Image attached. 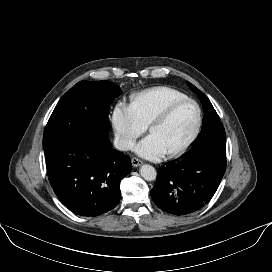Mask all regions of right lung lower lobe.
Returning a JSON list of instances; mask_svg holds the SVG:
<instances>
[{
	"label": "right lung lower lobe",
	"instance_id": "1",
	"mask_svg": "<svg viewBox=\"0 0 272 272\" xmlns=\"http://www.w3.org/2000/svg\"><path fill=\"white\" fill-rule=\"evenodd\" d=\"M50 184L59 200L81 216H98L120 201V180L131 172L130 157L108 138L79 132L44 149Z\"/></svg>",
	"mask_w": 272,
	"mask_h": 272
}]
</instances>
